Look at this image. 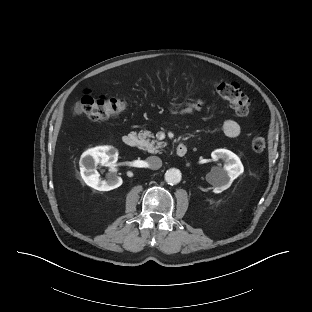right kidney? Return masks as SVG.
<instances>
[{
  "instance_id": "obj_1",
  "label": "right kidney",
  "mask_w": 312,
  "mask_h": 312,
  "mask_svg": "<svg viewBox=\"0 0 312 312\" xmlns=\"http://www.w3.org/2000/svg\"><path fill=\"white\" fill-rule=\"evenodd\" d=\"M118 152L110 146H100L87 150L80 158V173L84 182L99 191H110L122 185V178L116 175ZM98 164L108 166L110 172L101 180L96 170Z\"/></svg>"
}]
</instances>
